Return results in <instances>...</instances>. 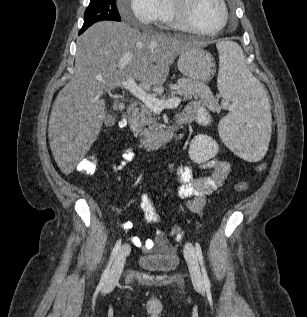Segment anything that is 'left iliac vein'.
Returning <instances> with one entry per match:
<instances>
[{"label":"left iliac vein","mask_w":307,"mask_h":317,"mask_svg":"<svg viewBox=\"0 0 307 317\" xmlns=\"http://www.w3.org/2000/svg\"><path fill=\"white\" fill-rule=\"evenodd\" d=\"M184 255L189 267L190 275L194 286L198 289H203L204 282L199 269L196 251L191 243H187L185 245Z\"/></svg>","instance_id":"obj_1"}]
</instances>
